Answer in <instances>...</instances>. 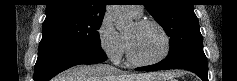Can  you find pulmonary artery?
<instances>
[{
    "instance_id": "e3ab8cb5",
    "label": "pulmonary artery",
    "mask_w": 237,
    "mask_h": 81,
    "mask_svg": "<svg viewBox=\"0 0 237 81\" xmlns=\"http://www.w3.org/2000/svg\"><path fill=\"white\" fill-rule=\"evenodd\" d=\"M128 8L135 17H140L143 14L142 8L140 6H129Z\"/></svg>"
}]
</instances>
